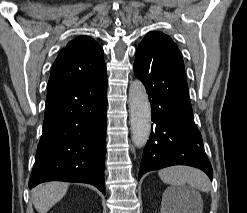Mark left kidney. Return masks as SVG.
Wrapping results in <instances>:
<instances>
[{"instance_id": "5707ae66", "label": "left kidney", "mask_w": 247, "mask_h": 213, "mask_svg": "<svg viewBox=\"0 0 247 213\" xmlns=\"http://www.w3.org/2000/svg\"><path fill=\"white\" fill-rule=\"evenodd\" d=\"M179 198L175 190H167L163 194L161 213H179L181 211L179 208Z\"/></svg>"}]
</instances>
